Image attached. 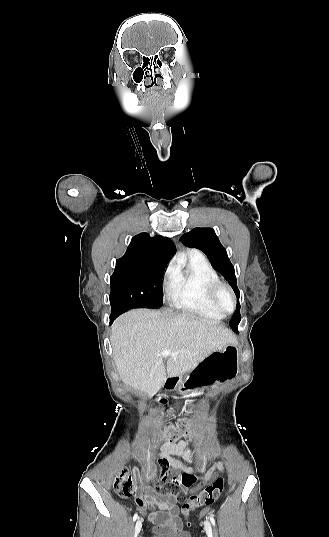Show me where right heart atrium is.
<instances>
[{"label":"right heart atrium","instance_id":"d8ad5b80","mask_svg":"<svg viewBox=\"0 0 329 537\" xmlns=\"http://www.w3.org/2000/svg\"><path fill=\"white\" fill-rule=\"evenodd\" d=\"M174 275H175V269H174V267L172 265H169L166 268V270L164 272V275H163L164 284H165V287H166L167 291L169 290V288L172 285Z\"/></svg>","mask_w":329,"mask_h":537}]
</instances>
